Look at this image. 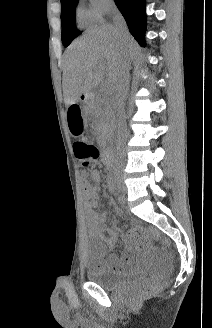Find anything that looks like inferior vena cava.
<instances>
[{
	"label": "inferior vena cava",
	"instance_id": "inferior-vena-cava-1",
	"mask_svg": "<svg viewBox=\"0 0 212 328\" xmlns=\"http://www.w3.org/2000/svg\"><path fill=\"white\" fill-rule=\"evenodd\" d=\"M110 16L114 22L118 35L123 36L127 32L126 23L123 16L116 7H111ZM128 89V78L125 71H121L115 80L113 90L110 96V110L114 118L117 128V159L115 162L114 179H121L123 175V154L120 148L124 145L126 139V123H125V101Z\"/></svg>",
	"mask_w": 212,
	"mask_h": 328
}]
</instances>
